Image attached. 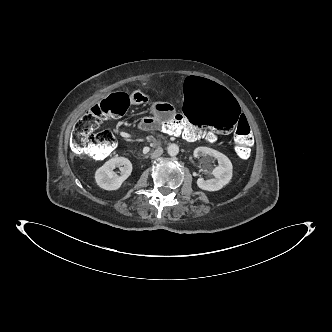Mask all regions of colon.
Masks as SVG:
<instances>
[{"label":"colon","mask_w":332,"mask_h":332,"mask_svg":"<svg viewBox=\"0 0 332 332\" xmlns=\"http://www.w3.org/2000/svg\"><path fill=\"white\" fill-rule=\"evenodd\" d=\"M132 93H112L94 105L75 124L70 139L75 156H87L103 160L116 147V139L110 130H99L104 120L122 116L135 101ZM188 117L175 115L171 121H159V128L170 135L180 134L194 125L208 128L217 135L229 134L234 129V148L241 159L248 158L252 145L251 129L241 119L236 98L217 83L203 77L191 78L184 87Z\"/></svg>","instance_id":"1"}]
</instances>
